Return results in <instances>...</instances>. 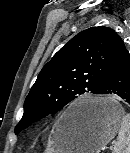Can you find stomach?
<instances>
[{"label": "stomach", "mask_w": 130, "mask_h": 153, "mask_svg": "<svg viewBox=\"0 0 130 153\" xmlns=\"http://www.w3.org/2000/svg\"><path fill=\"white\" fill-rule=\"evenodd\" d=\"M74 102L51 131L48 153H99L116 135L125 113L112 97ZM86 108L87 114L76 111Z\"/></svg>", "instance_id": "1"}]
</instances>
